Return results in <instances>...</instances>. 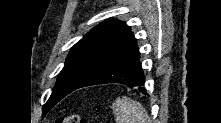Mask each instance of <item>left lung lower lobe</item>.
<instances>
[{
  "mask_svg": "<svg viewBox=\"0 0 221 123\" xmlns=\"http://www.w3.org/2000/svg\"><path fill=\"white\" fill-rule=\"evenodd\" d=\"M139 49L137 45L115 58L95 74L89 77L79 88L106 83H121L128 87H139L145 92L144 75L139 62ZM78 89V88H77Z\"/></svg>",
  "mask_w": 221,
  "mask_h": 123,
  "instance_id": "obj_1",
  "label": "left lung lower lobe"
}]
</instances>
